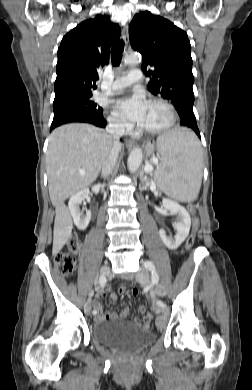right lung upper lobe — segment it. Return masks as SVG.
<instances>
[{
  "label": "right lung upper lobe",
  "mask_w": 252,
  "mask_h": 390,
  "mask_svg": "<svg viewBox=\"0 0 252 390\" xmlns=\"http://www.w3.org/2000/svg\"><path fill=\"white\" fill-rule=\"evenodd\" d=\"M121 34L106 15L83 21L67 33L58 48L55 99L92 94L98 69L109 62V50Z\"/></svg>",
  "instance_id": "1"
}]
</instances>
